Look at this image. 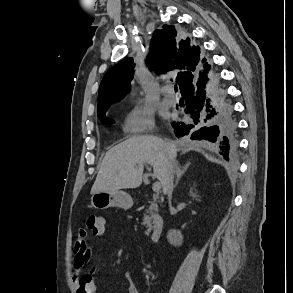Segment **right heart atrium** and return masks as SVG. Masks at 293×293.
Masks as SVG:
<instances>
[{"label":"right heart atrium","instance_id":"d8ad5b80","mask_svg":"<svg viewBox=\"0 0 293 293\" xmlns=\"http://www.w3.org/2000/svg\"><path fill=\"white\" fill-rule=\"evenodd\" d=\"M124 128L129 133L152 131L155 128L153 112L139 107L133 109L125 117Z\"/></svg>","mask_w":293,"mask_h":293}]
</instances>
